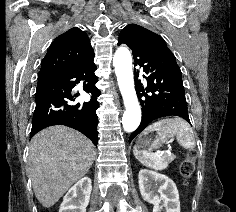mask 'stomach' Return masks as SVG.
<instances>
[{
	"instance_id": "0dacf381",
	"label": "stomach",
	"mask_w": 236,
	"mask_h": 212,
	"mask_svg": "<svg viewBox=\"0 0 236 212\" xmlns=\"http://www.w3.org/2000/svg\"><path fill=\"white\" fill-rule=\"evenodd\" d=\"M151 139L149 138H144L142 140L138 141V145L136 146L137 149H142L150 144Z\"/></svg>"
}]
</instances>
